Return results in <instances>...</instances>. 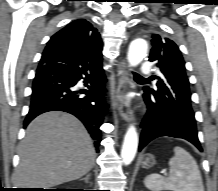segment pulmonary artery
<instances>
[{"label":"pulmonary artery","instance_id":"obj_1","mask_svg":"<svg viewBox=\"0 0 218 191\" xmlns=\"http://www.w3.org/2000/svg\"><path fill=\"white\" fill-rule=\"evenodd\" d=\"M151 65L149 62H144L141 66V69H140V74L142 76H149L151 74Z\"/></svg>","mask_w":218,"mask_h":191}]
</instances>
